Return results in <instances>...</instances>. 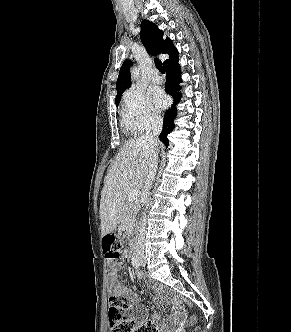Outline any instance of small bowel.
Returning a JSON list of instances; mask_svg holds the SVG:
<instances>
[{"instance_id":"obj_1","label":"small bowel","mask_w":291,"mask_h":332,"mask_svg":"<svg viewBox=\"0 0 291 332\" xmlns=\"http://www.w3.org/2000/svg\"><path fill=\"white\" fill-rule=\"evenodd\" d=\"M109 265L111 267L109 273V280L111 284H115L118 278V274L121 271L122 267L119 263L114 260H109ZM139 278H143L142 273H136ZM156 296L155 302L161 304L163 302L162 291L159 288H155ZM130 322L140 325L145 323V320L148 318V313L146 309L138 302L136 297L130 298ZM160 316L158 314H153L150 316L151 321H158ZM184 320V315L181 312H175L173 314L174 322H182Z\"/></svg>"}]
</instances>
